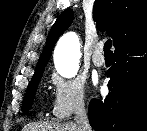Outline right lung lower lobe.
<instances>
[{"instance_id":"1","label":"right lung lower lobe","mask_w":147,"mask_h":131,"mask_svg":"<svg viewBox=\"0 0 147 131\" xmlns=\"http://www.w3.org/2000/svg\"><path fill=\"white\" fill-rule=\"evenodd\" d=\"M104 101L92 99L89 121L96 131H147V31L115 48Z\"/></svg>"}]
</instances>
